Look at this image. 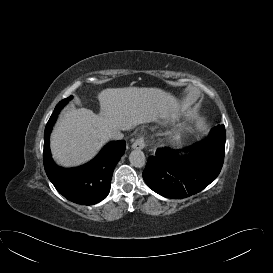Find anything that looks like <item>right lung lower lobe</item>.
<instances>
[{"mask_svg":"<svg viewBox=\"0 0 273 273\" xmlns=\"http://www.w3.org/2000/svg\"><path fill=\"white\" fill-rule=\"evenodd\" d=\"M66 104L61 101L52 113L44 132L43 162L46 174L55 188L66 199L82 205L102 201L110 191L114 168L125 152V141L108 143L91 162L76 168H62L55 164L50 152L52 127Z\"/></svg>","mask_w":273,"mask_h":273,"instance_id":"98d812e1","label":"right lung lower lobe"}]
</instances>
